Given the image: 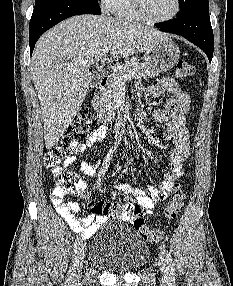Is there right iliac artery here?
<instances>
[{
    "label": "right iliac artery",
    "instance_id": "82829eb1",
    "mask_svg": "<svg viewBox=\"0 0 233 286\" xmlns=\"http://www.w3.org/2000/svg\"><path fill=\"white\" fill-rule=\"evenodd\" d=\"M79 245H80V239L77 238L76 241L74 242V246H73L74 256H75V254L78 252ZM71 278H72V269H70V271H69V273H68V277H67L66 282H65L66 285H69V284H70ZM66 285H65V286H66Z\"/></svg>",
    "mask_w": 233,
    "mask_h": 286
}]
</instances>
